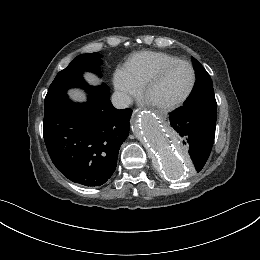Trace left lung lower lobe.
<instances>
[{
    "label": "left lung lower lobe",
    "instance_id": "0a47b994",
    "mask_svg": "<svg viewBox=\"0 0 260 260\" xmlns=\"http://www.w3.org/2000/svg\"><path fill=\"white\" fill-rule=\"evenodd\" d=\"M217 104L204 102L182 107L170 114L169 124L175 136L183 142L197 172L204 167L213 147Z\"/></svg>",
    "mask_w": 260,
    "mask_h": 260
}]
</instances>
